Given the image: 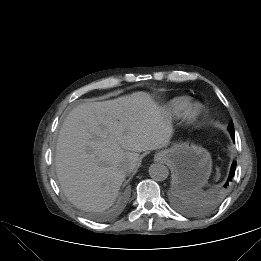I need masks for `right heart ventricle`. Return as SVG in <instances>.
I'll use <instances>...</instances> for the list:
<instances>
[{"label": "right heart ventricle", "mask_w": 261, "mask_h": 261, "mask_svg": "<svg viewBox=\"0 0 261 261\" xmlns=\"http://www.w3.org/2000/svg\"><path fill=\"white\" fill-rule=\"evenodd\" d=\"M191 106V98L187 96H180L173 98L167 104L168 113L179 116L184 114Z\"/></svg>", "instance_id": "e07e8e85"}]
</instances>
